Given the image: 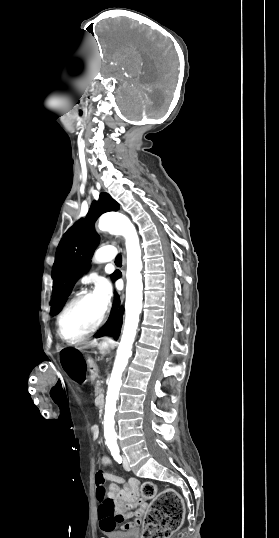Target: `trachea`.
I'll return each instance as SVG.
<instances>
[{
    "instance_id": "obj_1",
    "label": "trachea",
    "mask_w": 279,
    "mask_h": 538,
    "mask_svg": "<svg viewBox=\"0 0 279 538\" xmlns=\"http://www.w3.org/2000/svg\"><path fill=\"white\" fill-rule=\"evenodd\" d=\"M121 262H122V257H121V255H117V257L115 258V263H116V264H119V263H121Z\"/></svg>"
}]
</instances>
